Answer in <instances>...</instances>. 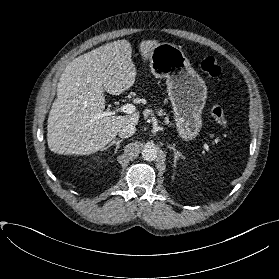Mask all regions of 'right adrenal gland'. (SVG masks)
<instances>
[{"mask_svg": "<svg viewBox=\"0 0 279 279\" xmlns=\"http://www.w3.org/2000/svg\"><path fill=\"white\" fill-rule=\"evenodd\" d=\"M123 140H113L111 143H109L103 150L104 151H107V149L113 145H116V148H115V151L114 153H117L118 149L120 148V143L122 142Z\"/></svg>", "mask_w": 279, "mask_h": 279, "instance_id": "2a0ac1e0", "label": "right adrenal gland"}]
</instances>
